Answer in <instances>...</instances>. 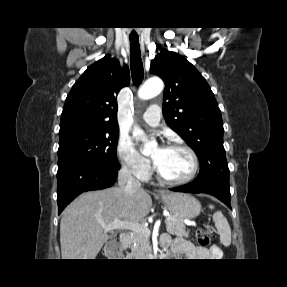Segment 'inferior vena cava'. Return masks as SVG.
Listing matches in <instances>:
<instances>
[{"label": "inferior vena cava", "mask_w": 287, "mask_h": 287, "mask_svg": "<svg viewBox=\"0 0 287 287\" xmlns=\"http://www.w3.org/2000/svg\"><path fill=\"white\" fill-rule=\"evenodd\" d=\"M118 185L125 194L132 197L137 190H141V183L132 176L131 171L123 166L118 174Z\"/></svg>", "instance_id": "inferior-vena-cava-1"}]
</instances>
